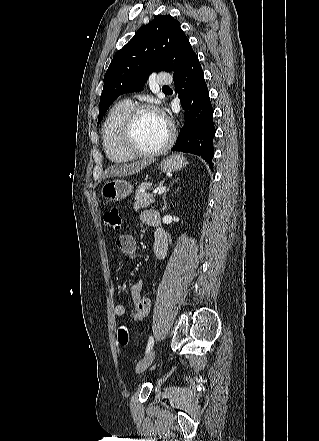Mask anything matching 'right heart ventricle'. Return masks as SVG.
<instances>
[{
  "label": "right heart ventricle",
  "mask_w": 319,
  "mask_h": 441,
  "mask_svg": "<svg viewBox=\"0 0 319 441\" xmlns=\"http://www.w3.org/2000/svg\"><path fill=\"white\" fill-rule=\"evenodd\" d=\"M133 107L130 100H120L110 109L102 128V138L105 152L108 158L114 162H126L133 158L120 143V131L122 123Z\"/></svg>",
  "instance_id": "right-heart-ventricle-1"
}]
</instances>
